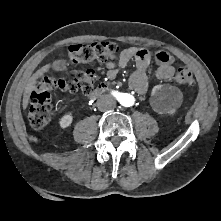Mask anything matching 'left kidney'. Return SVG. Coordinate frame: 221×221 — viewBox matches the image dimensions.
<instances>
[{
    "mask_svg": "<svg viewBox=\"0 0 221 221\" xmlns=\"http://www.w3.org/2000/svg\"><path fill=\"white\" fill-rule=\"evenodd\" d=\"M182 102L181 91L170 85H156L152 89V106L159 114H172Z\"/></svg>",
    "mask_w": 221,
    "mask_h": 221,
    "instance_id": "1",
    "label": "left kidney"
}]
</instances>
